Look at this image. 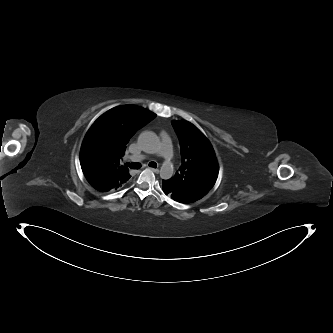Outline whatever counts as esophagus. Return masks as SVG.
Segmentation results:
<instances>
[{
	"label": "esophagus",
	"mask_w": 333,
	"mask_h": 333,
	"mask_svg": "<svg viewBox=\"0 0 333 333\" xmlns=\"http://www.w3.org/2000/svg\"><path fill=\"white\" fill-rule=\"evenodd\" d=\"M149 169H151L154 173L158 174L159 173V169L157 168H152V167H149Z\"/></svg>",
	"instance_id": "esophagus-1"
}]
</instances>
